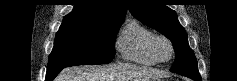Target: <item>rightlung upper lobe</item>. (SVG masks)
I'll return each instance as SVG.
<instances>
[{"mask_svg": "<svg viewBox=\"0 0 237 81\" xmlns=\"http://www.w3.org/2000/svg\"><path fill=\"white\" fill-rule=\"evenodd\" d=\"M74 10L63 20L90 22L124 21L127 5L123 0H76Z\"/></svg>", "mask_w": 237, "mask_h": 81, "instance_id": "obj_1", "label": "right lung upper lobe"}]
</instances>
